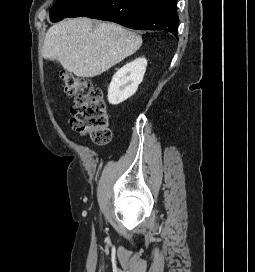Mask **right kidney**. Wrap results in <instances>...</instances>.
Masks as SVG:
<instances>
[{
    "instance_id": "obj_1",
    "label": "right kidney",
    "mask_w": 255,
    "mask_h": 272,
    "mask_svg": "<svg viewBox=\"0 0 255 272\" xmlns=\"http://www.w3.org/2000/svg\"><path fill=\"white\" fill-rule=\"evenodd\" d=\"M147 66L145 58H138L121 67L108 88V101L117 105L130 98L142 82Z\"/></svg>"
}]
</instances>
